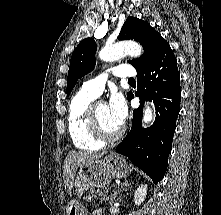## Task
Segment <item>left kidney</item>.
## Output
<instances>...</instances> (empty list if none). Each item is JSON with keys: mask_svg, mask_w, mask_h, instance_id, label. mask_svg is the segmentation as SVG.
<instances>
[{"mask_svg": "<svg viewBox=\"0 0 221 215\" xmlns=\"http://www.w3.org/2000/svg\"><path fill=\"white\" fill-rule=\"evenodd\" d=\"M146 195H147V184H141L135 191L134 203L139 206L141 203L144 202Z\"/></svg>", "mask_w": 221, "mask_h": 215, "instance_id": "left-kidney-1", "label": "left kidney"}]
</instances>
